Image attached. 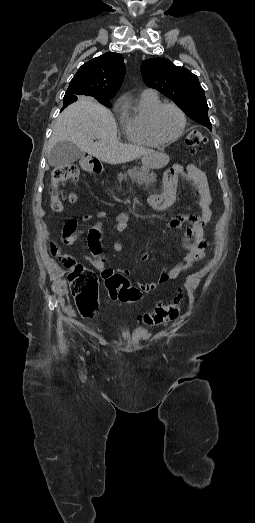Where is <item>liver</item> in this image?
<instances>
[{
	"instance_id": "obj_1",
	"label": "liver",
	"mask_w": 255,
	"mask_h": 523,
	"mask_svg": "<svg viewBox=\"0 0 255 523\" xmlns=\"http://www.w3.org/2000/svg\"><path fill=\"white\" fill-rule=\"evenodd\" d=\"M57 142H73L82 152L95 156L105 164H125L141 156H144V162H148L155 154L154 150L149 148L118 142L113 114L98 102H94L92 98H85V96L68 106L57 118L48 142V158L51 148ZM157 154V162L160 168H164L170 158L161 152Z\"/></svg>"
}]
</instances>
